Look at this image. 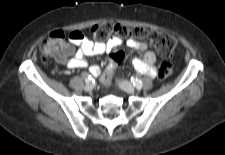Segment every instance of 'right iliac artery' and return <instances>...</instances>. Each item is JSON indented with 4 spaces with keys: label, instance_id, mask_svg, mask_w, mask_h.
<instances>
[{
    "label": "right iliac artery",
    "instance_id": "82829eb1",
    "mask_svg": "<svg viewBox=\"0 0 225 155\" xmlns=\"http://www.w3.org/2000/svg\"><path fill=\"white\" fill-rule=\"evenodd\" d=\"M91 80H92V77L91 76H88V77L85 78V82L86 83H90Z\"/></svg>",
    "mask_w": 225,
    "mask_h": 155
}]
</instances>
